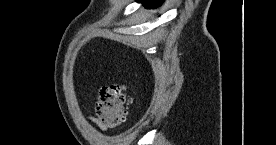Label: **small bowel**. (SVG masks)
<instances>
[{"label":"small bowel","mask_w":276,"mask_h":145,"mask_svg":"<svg viewBox=\"0 0 276 145\" xmlns=\"http://www.w3.org/2000/svg\"><path fill=\"white\" fill-rule=\"evenodd\" d=\"M86 119L92 123L93 125H95L96 127H98L101 131H107V128L94 116L92 115H87Z\"/></svg>","instance_id":"small-bowel-1"}]
</instances>
